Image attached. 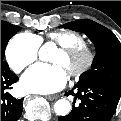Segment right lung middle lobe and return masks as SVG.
I'll return each instance as SVG.
<instances>
[{
	"mask_svg": "<svg viewBox=\"0 0 121 121\" xmlns=\"http://www.w3.org/2000/svg\"><path fill=\"white\" fill-rule=\"evenodd\" d=\"M20 29L21 27L1 21V65H7V63L3 61L6 45L9 39Z\"/></svg>",
	"mask_w": 121,
	"mask_h": 121,
	"instance_id": "right-lung-middle-lobe-1",
	"label": "right lung middle lobe"
}]
</instances>
